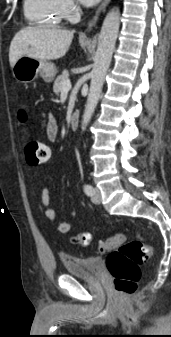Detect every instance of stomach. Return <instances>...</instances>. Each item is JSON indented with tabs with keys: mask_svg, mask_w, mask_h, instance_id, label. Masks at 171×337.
<instances>
[{
	"mask_svg": "<svg viewBox=\"0 0 171 337\" xmlns=\"http://www.w3.org/2000/svg\"><path fill=\"white\" fill-rule=\"evenodd\" d=\"M12 72L14 78L21 83H29L38 76L42 77L46 82H52L57 69L51 62L22 56L16 61Z\"/></svg>",
	"mask_w": 171,
	"mask_h": 337,
	"instance_id": "stomach-1",
	"label": "stomach"
}]
</instances>
